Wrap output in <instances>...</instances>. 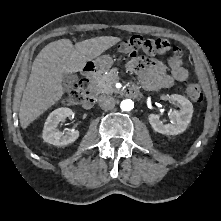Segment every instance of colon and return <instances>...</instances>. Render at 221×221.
<instances>
[{
    "mask_svg": "<svg viewBox=\"0 0 221 221\" xmlns=\"http://www.w3.org/2000/svg\"><path fill=\"white\" fill-rule=\"evenodd\" d=\"M166 46V42L162 39L149 40L144 39L139 35H135L121 42L119 45V51L125 57L133 58L140 50H144L145 48L163 49ZM173 49L179 50L177 47H174ZM89 92L90 84L84 79H81L75 84L73 90L67 95L64 102L67 105L83 104ZM186 92L187 95L196 102H200L203 99L201 88L197 83H189L186 87Z\"/></svg>",
    "mask_w": 221,
    "mask_h": 221,
    "instance_id": "5ec220e1",
    "label": "colon"
}]
</instances>
